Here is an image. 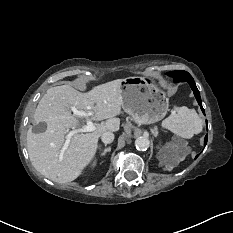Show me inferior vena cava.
Here are the masks:
<instances>
[{
	"label": "inferior vena cava",
	"mask_w": 233,
	"mask_h": 233,
	"mask_svg": "<svg viewBox=\"0 0 233 233\" xmlns=\"http://www.w3.org/2000/svg\"><path fill=\"white\" fill-rule=\"evenodd\" d=\"M101 140L105 144H109V143L113 142V140H114V134H113V132L106 131V132L102 133Z\"/></svg>",
	"instance_id": "inferior-vena-cava-1"
}]
</instances>
